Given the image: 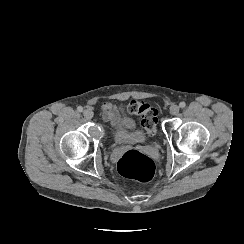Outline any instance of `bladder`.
Listing matches in <instances>:
<instances>
[{
  "mask_svg": "<svg viewBox=\"0 0 244 244\" xmlns=\"http://www.w3.org/2000/svg\"><path fill=\"white\" fill-rule=\"evenodd\" d=\"M146 138V132L143 127L138 126L131 131L113 130V143L117 145L124 144H142Z\"/></svg>",
  "mask_w": 244,
  "mask_h": 244,
  "instance_id": "obj_1",
  "label": "bladder"
}]
</instances>
